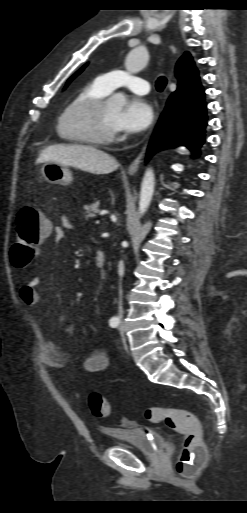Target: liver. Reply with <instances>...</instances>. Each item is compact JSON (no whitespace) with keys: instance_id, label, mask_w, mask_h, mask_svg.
Segmentation results:
<instances>
[{"instance_id":"obj_1","label":"liver","mask_w":247,"mask_h":513,"mask_svg":"<svg viewBox=\"0 0 247 513\" xmlns=\"http://www.w3.org/2000/svg\"><path fill=\"white\" fill-rule=\"evenodd\" d=\"M55 162L63 166H73L92 174H109L118 167L117 161L109 154L92 146L52 145L44 149L36 163Z\"/></svg>"}]
</instances>
